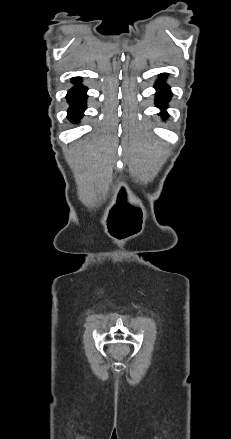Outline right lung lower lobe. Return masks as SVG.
<instances>
[{"label": "right lung lower lobe", "instance_id": "right-lung-lower-lobe-1", "mask_svg": "<svg viewBox=\"0 0 231 439\" xmlns=\"http://www.w3.org/2000/svg\"><path fill=\"white\" fill-rule=\"evenodd\" d=\"M80 80L79 77L73 78L72 82L77 83ZM86 91L87 88L82 85L73 87L66 95L68 103L71 105L68 110L67 118L71 122H76L82 118L84 110L86 109Z\"/></svg>", "mask_w": 231, "mask_h": 439}]
</instances>
